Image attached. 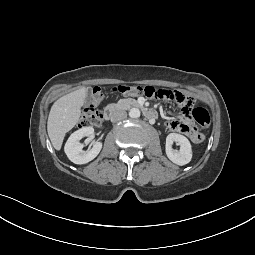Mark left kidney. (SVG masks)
I'll return each instance as SVG.
<instances>
[{"mask_svg":"<svg viewBox=\"0 0 255 255\" xmlns=\"http://www.w3.org/2000/svg\"><path fill=\"white\" fill-rule=\"evenodd\" d=\"M176 142L180 146L179 150L172 148V144ZM165 151L167 157L177 165L188 164L192 159V147L190 141L183 135L170 133L166 137Z\"/></svg>","mask_w":255,"mask_h":255,"instance_id":"obj_1","label":"left kidney"}]
</instances>
